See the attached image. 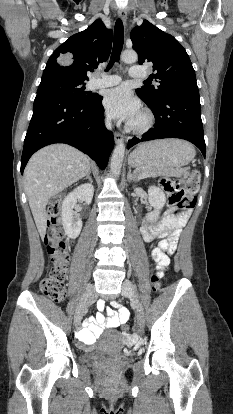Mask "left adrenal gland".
I'll return each instance as SVG.
<instances>
[{
	"mask_svg": "<svg viewBox=\"0 0 233 414\" xmlns=\"http://www.w3.org/2000/svg\"><path fill=\"white\" fill-rule=\"evenodd\" d=\"M127 180H128V182H131V181L137 182L138 181L137 176L134 173L131 172V167L128 168Z\"/></svg>",
	"mask_w": 233,
	"mask_h": 414,
	"instance_id": "left-adrenal-gland-1",
	"label": "left adrenal gland"
}]
</instances>
